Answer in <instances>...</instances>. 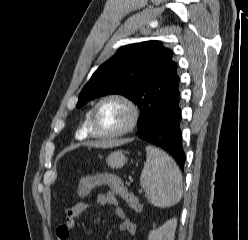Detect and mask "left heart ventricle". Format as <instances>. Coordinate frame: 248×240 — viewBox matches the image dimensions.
<instances>
[{
  "label": "left heart ventricle",
  "mask_w": 248,
  "mask_h": 240,
  "mask_svg": "<svg viewBox=\"0 0 248 240\" xmlns=\"http://www.w3.org/2000/svg\"><path fill=\"white\" fill-rule=\"evenodd\" d=\"M128 121L126 109L119 103L102 104L96 114L95 126L100 133H112L121 129Z\"/></svg>",
  "instance_id": "1"
}]
</instances>
